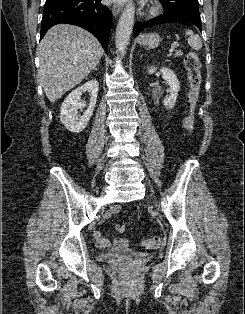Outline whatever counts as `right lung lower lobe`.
Wrapping results in <instances>:
<instances>
[{"mask_svg":"<svg viewBox=\"0 0 245 314\" xmlns=\"http://www.w3.org/2000/svg\"><path fill=\"white\" fill-rule=\"evenodd\" d=\"M60 23L88 30L107 52L112 17L110 10L101 4V0H46L40 39L49 28Z\"/></svg>","mask_w":245,"mask_h":314,"instance_id":"98d812e1","label":"right lung lower lobe"}]
</instances>
